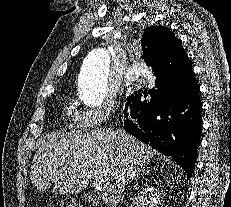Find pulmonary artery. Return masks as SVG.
<instances>
[{"label": "pulmonary artery", "instance_id": "obj_1", "mask_svg": "<svg viewBox=\"0 0 231 207\" xmlns=\"http://www.w3.org/2000/svg\"><path fill=\"white\" fill-rule=\"evenodd\" d=\"M140 76V72H134V68H129L128 73L124 76L126 83H131Z\"/></svg>", "mask_w": 231, "mask_h": 207}]
</instances>
